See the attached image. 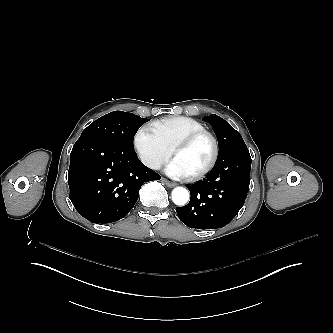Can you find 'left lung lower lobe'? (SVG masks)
<instances>
[{
  "label": "left lung lower lobe",
  "instance_id": "obj_1",
  "mask_svg": "<svg viewBox=\"0 0 333 333\" xmlns=\"http://www.w3.org/2000/svg\"><path fill=\"white\" fill-rule=\"evenodd\" d=\"M248 150L235 152L216 162L202 181L186 185L190 202L177 207L179 219L190 228L216 229L227 225L243 206L250 184Z\"/></svg>",
  "mask_w": 333,
  "mask_h": 333
}]
</instances>
